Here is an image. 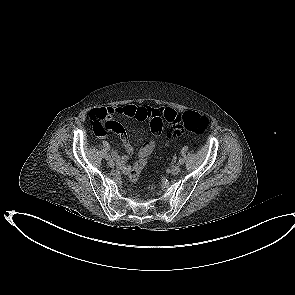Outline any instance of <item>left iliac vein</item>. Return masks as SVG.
Wrapping results in <instances>:
<instances>
[{"instance_id": "obj_1", "label": "left iliac vein", "mask_w": 295, "mask_h": 295, "mask_svg": "<svg viewBox=\"0 0 295 295\" xmlns=\"http://www.w3.org/2000/svg\"><path fill=\"white\" fill-rule=\"evenodd\" d=\"M180 172V166L177 164L171 168V173L176 175Z\"/></svg>"}]
</instances>
